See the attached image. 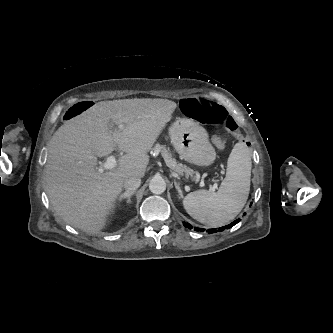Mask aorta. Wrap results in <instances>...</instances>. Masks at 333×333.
I'll use <instances>...</instances> for the list:
<instances>
[{
    "instance_id": "762f6f07",
    "label": "aorta",
    "mask_w": 333,
    "mask_h": 333,
    "mask_svg": "<svg viewBox=\"0 0 333 333\" xmlns=\"http://www.w3.org/2000/svg\"><path fill=\"white\" fill-rule=\"evenodd\" d=\"M149 189L154 194H162L166 190V182L162 177H153L149 183Z\"/></svg>"
}]
</instances>
